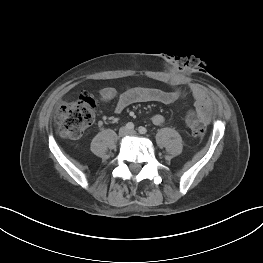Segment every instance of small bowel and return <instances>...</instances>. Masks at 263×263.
Listing matches in <instances>:
<instances>
[{
  "instance_id": "c3829d8e",
  "label": "small bowel",
  "mask_w": 263,
  "mask_h": 263,
  "mask_svg": "<svg viewBox=\"0 0 263 263\" xmlns=\"http://www.w3.org/2000/svg\"><path fill=\"white\" fill-rule=\"evenodd\" d=\"M189 89L195 100V109L198 116L204 121H209L212 116V103L206 91L196 83L190 84ZM99 96L102 101L117 98L116 113H121L128 106L135 103L157 102L170 104L181 97L179 90L165 91L159 88L146 87L129 88L120 94L113 87H104L100 90ZM151 121L155 125H162L165 122V117L162 114H154Z\"/></svg>"
}]
</instances>
